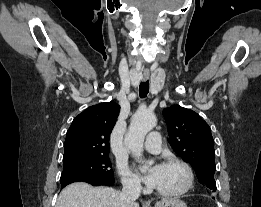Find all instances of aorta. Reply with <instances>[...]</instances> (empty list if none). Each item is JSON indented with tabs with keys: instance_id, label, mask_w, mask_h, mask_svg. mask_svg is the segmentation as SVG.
Listing matches in <instances>:
<instances>
[{
	"instance_id": "obj_1",
	"label": "aorta",
	"mask_w": 261,
	"mask_h": 207,
	"mask_svg": "<svg viewBox=\"0 0 261 207\" xmlns=\"http://www.w3.org/2000/svg\"><path fill=\"white\" fill-rule=\"evenodd\" d=\"M156 124V116L151 112L137 111L133 115L129 130L125 135V143L136 159L142 158L145 136Z\"/></svg>"
}]
</instances>
